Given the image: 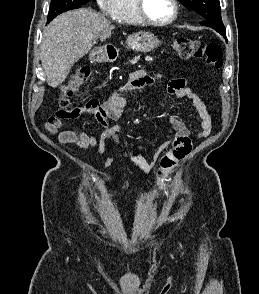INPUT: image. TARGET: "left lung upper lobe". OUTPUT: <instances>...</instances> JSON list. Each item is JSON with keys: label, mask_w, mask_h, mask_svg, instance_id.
<instances>
[{"label": "left lung upper lobe", "mask_w": 259, "mask_h": 294, "mask_svg": "<svg viewBox=\"0 0 259 294\" xmlns=\"http://www.w3.org/2000/svg\"><path fill=\"white\" fill-rule=\"evenodd\" d=\"M185 7L194 10L206 20L201 24L211 26L217 32H225L221 19L220 2L218 0H179Z\"/></svg>", "instance_id": "obj_1"}]
</instances>
